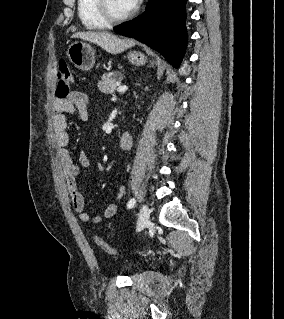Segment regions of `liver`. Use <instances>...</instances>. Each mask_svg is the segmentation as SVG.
<instances>
[{
    "label": "liver",
    "mask_w": 284,
    "mask_h": 319,
    "mask_svg": "<svg viewBox=\"0 0 284 319\" xmlns=\"http://www.w3.org/2000/svg\"><path fill=\"white\" fill-rule=\"evenodd\" d=\"M72 38H80L100 46L110 54H118L135 45L133 39H120L109 32L87 31L76 32Z\"/></svg>",
    "instance_id": "1"
}]
</instances>
